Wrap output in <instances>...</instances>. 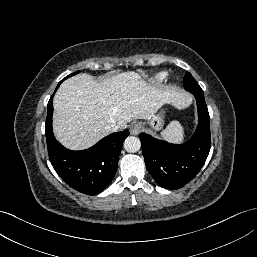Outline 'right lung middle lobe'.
Masks as SVG:
<instances>
[{"label": "right lung middle lobe", "mask_w": 257, "mask_h": 257, "mask_svg": "<svg viewBox=\"0 0 257 257\" xmlns=\"http://www.w3.org/2000/svg\"><path fill=\"white\" fill-rule=\"evenodd\" d=\"M77 73H79V71H77V72H75V73L70 74L69 76L65 77L63 80H65V79H67L68 77H71V76H73V75H75V74H77ZM63 80H62V81H63ZM62 81H61V82H62ZM61 82H60V83H61ZM60 83H59V84H60Z\"/></svg>", "instance_id": "obj_1"}]
</instances>
